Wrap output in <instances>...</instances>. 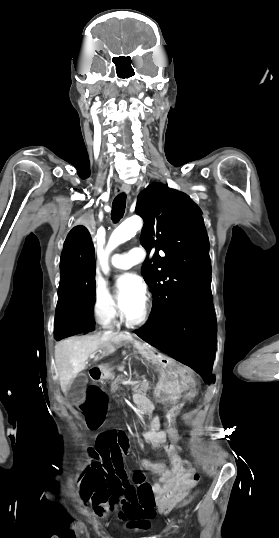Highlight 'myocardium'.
I'll return each instance as SVG.
<instances>
[{"instance_id": "obj_1", "label": "myocardium", "mask_w": 279, "mask_h": 538, "mask_svg": "<svg viewBox=\"0 0 279 538\" xmlns=\"http://www.w3.org/2000/svg\"><path fill=\"white\" fill-rule=\"evenodd\" d=\"M88 217V215H87ZM144 229V224L142 225H138L136 224V222H134V225H133V228H132V232L131 234H129L130 236H133L137 233H140L142 232ZM150 311H151V304H150V301L148 298H144V301H143V308H142V311L139 315H137L136 317H128L127 315H125L124 312H122V320L130 327H140V326H143L144 324H146V322L148 321L149 317H150Z\"/></svg>"}]
</instances>
